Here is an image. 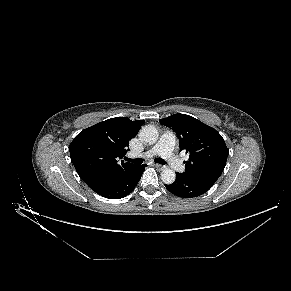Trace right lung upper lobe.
Segmentation results:
<instances>
[{"label": "right lung upper lobe", "instance_id": "cb5924a9", "mask_svg": "<svg viewBox=\"0 0 291 291\" xmlns=\"http://www.w3.org/2000/svg\"><path fill=\"white\" fill-rule=\"evenodd\" d=\"M144 122L115 117L80 132L69 145L71 161L80 178L91 185L133 168L135 165L120 163L119 159L125 156L129 140Z\"/></svg>", "mask_w": 291, "mask_h": 291}]
</instances>
